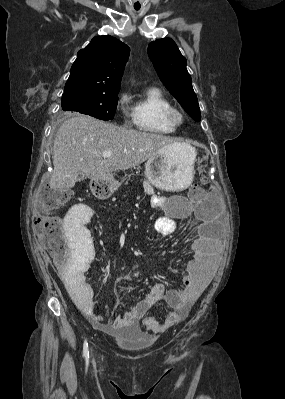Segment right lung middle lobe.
<instances>
[{"mask_svg": "<svg viewBox=\"0 0 285 399\" xmlns=\"http://www.w3.org/2000/svg\"><path fill=\"white\" fill-rule=\"evenodd\" d=\"M118 93H70L62 95V109L75 111L101 120H112L118 103Z\"/></svg>", "mask_w": 285, "mask_h": 399, "instance_id": "1", "label": "right lung middle lobe"}]
</instances>
